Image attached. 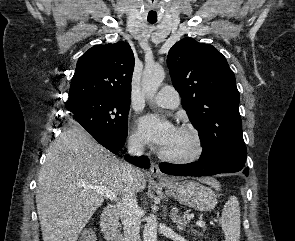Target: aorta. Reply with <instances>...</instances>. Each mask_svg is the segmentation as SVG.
Listing matches in <instances>:
<instances>
[{
  "mask_svg": "<svg viewBox=\"0 0 295 241\" xmlns=\"http://www.w3.org/2000/svg\"><path fill=\"white\" fill-rule=\"evenodd\" d=\"M165 78V71L160 65L147 66L142 76V91L147 97L153 98ZM157 217L148 216L143 231L144 241H157Z\"/></svg>",
  "mask_w": 295,
  "mask_h": 241,
  "instance_id": "obj_1",
  "label": "aorta"
}]
</instances>
